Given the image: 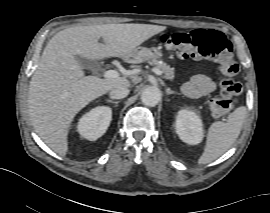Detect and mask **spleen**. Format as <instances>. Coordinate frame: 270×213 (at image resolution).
<instances>
[{"instance_id":"1","label":"spleen","mask_w":270,"mask_h":213,"mask_svg":"<svg viewBox=\"0 0 270 213\" xmlns=\"http://www.w3.org/2000/svg\"><path fill=\"white\" fill-rule=\"evenodd\" d=\"M245 117L246 108L241 106L228 115L226 122H214L209 127L204 152L198 163H210L224 154L238 138Z\"/></svg>"}]
</instances>
